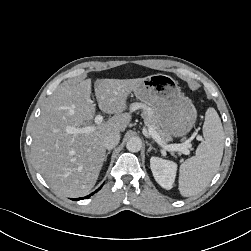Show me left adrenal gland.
Segmentation results:
<instances>
[{
  "mask_svg": "<svg viewBox=\"0 0 251 251\" xmlns=\"http://www.w3.org/2000/svg\"><path fill=\"white\" fill-rule=\"evenodd\" d=\"M148 146H149L148 152H150L151 150L156 151V148H154L150 143H148Z\"/></svg>",
  "mask_w": 251,
  "mask_h": 251,
  "instance_id": "obj_1",
  "label": "left adrenal gland"
}]
</instances>
